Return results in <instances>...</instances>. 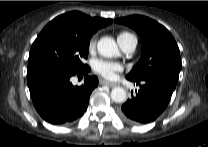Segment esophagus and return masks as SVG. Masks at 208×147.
<instances>
[{
  "label": "esophagus",
  "mask_w": 208,
  "mask_h": 147,
  "mask_svg": "<svg viewBox=\"0 0 208 147\" xmlns=\"http://www.w3.org/2000/svg\"><path fill=\"white\" fill-rule=\"evenodd\" d=\"M100 83L103 84V85H107L109 87H116L117 86L116 83H113V82H110V81H107V80H104V79H101Z\"/></svg>",
  "instance_id": "1"
}]
</instances>
